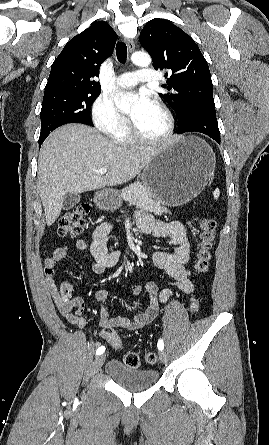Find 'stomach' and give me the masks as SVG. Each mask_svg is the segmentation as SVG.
<instances>
[{
    "label": "stomach",
    "mask_w": 269,
    "mask_h": 445,
    "mask_svg": "<svg viewBox=\"0 0 269 445\" xmlns=\"http://www.w3.org/2000/svg\"><path fill=\"white\" fill-rule=\"evenodd\" d=\"M215 169L211 147L196 136H179L154 156L145 166L141 180L161 204L184 205L205 188ZM94 202L105 211L122 205L121 193L115 189L97 192Z\"/></svg>",
    "instance_id": "0dacf381"
}]
</instances>
